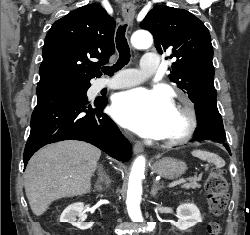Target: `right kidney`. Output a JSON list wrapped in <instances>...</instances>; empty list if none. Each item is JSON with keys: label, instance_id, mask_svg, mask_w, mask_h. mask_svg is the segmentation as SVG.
<instances>
[{"label": "right kidney", "instance_id": "right-kidney-1", "mask_svg": "<svg viewBox=\"0 0 250 235\" xmlns=\"http://www.w3.org/2000/svg\"><path fill=\"white\" fill-rule=\"evenodd\" d=\"M84 204L82 202H77L69 205L61 214L60 222H68L73 226L86 230L92 227L93 223H84L86 219V214L84 213Z\"/></svg>", "mask_w": 250, "mask_h": 235}]
</instances>
